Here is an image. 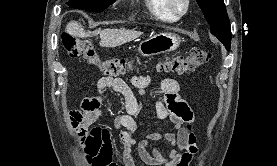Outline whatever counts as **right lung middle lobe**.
I'll list each match as a JSON object with an SVG mask.
<instances>
[{"instance_id": "obj_1", "label": "right lung middle lobe", "mask_w": 277, "mask_h": 166, "mask_svg": "<svg viewBox=\"0 0 277 166\" xmlns=\"http://www.w3.org/2000/svg\"><path fill=\"white\" fill-rule=\"evenodd\" d=\"M115 0H69L67 5L71 8L101 12L110 6Z\"/></svg>"}]
</instances>
